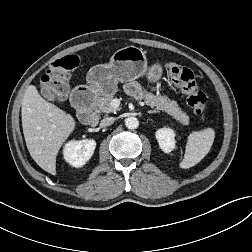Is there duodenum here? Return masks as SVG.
<instances>
[{
	"mask_svg": "<svg viewBox=\"0 0 252 252\" xmlns=\"http://www.w3.org/2000/svg\"><path fill=\"white\" fill-rule=\"evenodd\" d=\"M92 101L93 94L89 88L77 89L71 95V102L79 109L81 121L88 126H96L99 122V116Z\"/></svg>",
	"mask_w": 252,
	"mask_h": 252,
	"instance_id": "obj_1",
	"label": "duodenum"
}]
</instances>
